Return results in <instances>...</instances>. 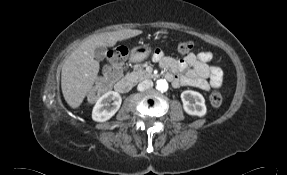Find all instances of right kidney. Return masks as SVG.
I'll return each mask as SVG.
<instances>
[{"instance_id": "ca27d5eb", "label": "right kidney", "mask_w": 287, "mask_h": 175, "mask_svg": "<svg viewBox=\"0 0 287 175\" xmlns=\"http://www.w3.org/2000/svg\"><path fill=\"white\" fill-rule=\"evenodd\" d=\"M121 101L118 92L108 91L97 100L93 107L92 119L97 122L109 120L120 108Z\"/></svg>"}]
</instances>
